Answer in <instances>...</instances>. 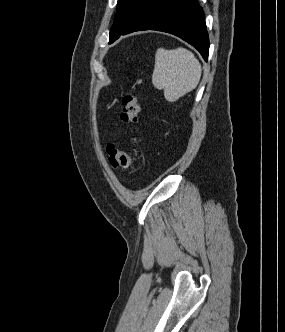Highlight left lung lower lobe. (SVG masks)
<instances>
[{"instance_id":"obj_1","label":"left lung lower lobe","mask_w":285,"mask_h":332,"mask_svg":"<svg viewBox=\"0 0 285 332\" xmlns=\"http://www.w3.org/2000/svg\"><path fill=\"white\" fill-rule=\"evenodd\" d=\"M140 30L171 33L194 46L207 61L209 37L197 0H152L120 35Z\"/></svg>"}]
</instances>
